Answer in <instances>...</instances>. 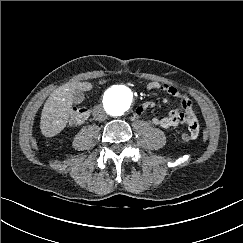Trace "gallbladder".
Masks as SVG:
<instances>
[{
    "mask_svg": "<svg viewBox=\"0 0 243 243\" xmlns=\"http://www.w3.org/2000/svg\"><path fill=\"white\" fill-rule=\"evenodd\" d=\"M83 93L81 91H76L74 94H73V102L75 104H79L83 101Z\"/></svg>",
    "mask_w": 243,
    "mask_h": 243,
    "instance_id": "gallbladder-1",
    "label": "gallbladder"
}]
</instances>
